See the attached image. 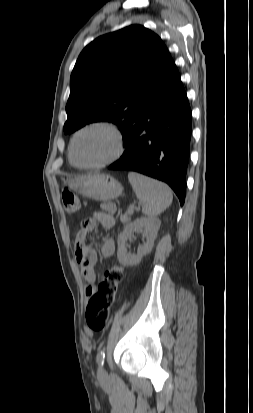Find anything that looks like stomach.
<instances>
[{"label":"stomach","instance_id":"1","mask_svg":"<svg viewBox=\"0 0 253 413\" xmlns=\"http://www.w3.org/2000/svg\"><path fill=\"white\" fill-rule=\"evenodd\" d=\"M68 186L82 196L98 201L116 199L123 192L120 182L106 174L76 177L68 181Z\"/></svg>","mask_w":253,"mask_h":413}]
</instances>
